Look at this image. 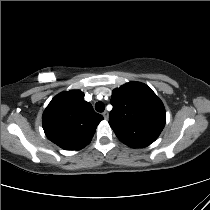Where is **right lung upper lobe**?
Here are the masks:
<instances>
[{
    "label": "right lung upper lobe",
    "mask_w": 210,
    "mask_h": 210,
    "mask_svg": "<svg viewBox=\"0 0 210 210\" xmlns=\"http://www.w3.org/2000/svg\"><path fill=\"white\" fill-rule=\"evenodd\" d=\"M103 120L80 90L62 92L52 99L43 113L47 138L65 150H80L92 139Z\"/></svg>",
    "instance_id": "cb5924a9"
}]
</instances>
